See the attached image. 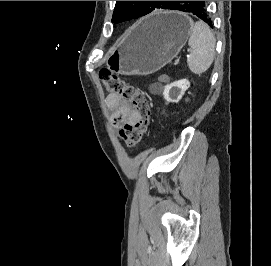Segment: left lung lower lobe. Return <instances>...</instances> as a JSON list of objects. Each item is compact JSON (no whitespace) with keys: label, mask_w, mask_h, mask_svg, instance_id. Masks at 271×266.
<instances>
[{"label":"left lung lower lobe","mask_w":271,"mask_h":266,"mask_svg":"<svg viewBox=\"0 0 271 266\" xmlns=\"http://www.w3.org/2000/svg\"><path fill=\"white\" fill-rule=\"evenodd\" d=\"M169 9L192 13L210 27H213L212 20L206 10L205 1H175Z\"/></svg>","instance_id":"left-lung-lower-lobe-1"}]
</instances>
